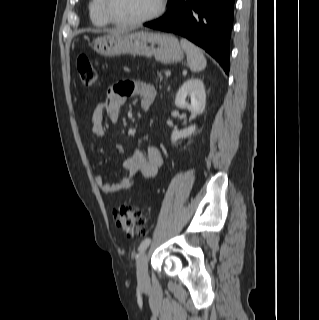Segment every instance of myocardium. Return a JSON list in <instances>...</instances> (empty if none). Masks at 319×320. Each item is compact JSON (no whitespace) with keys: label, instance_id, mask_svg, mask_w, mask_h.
Here are the masks:
<instances>
[{"label":"myocardium","instance_id":"1","mask_svg":"<svg viewBox=\"0 0 319 320\" xmlns=\"http://www.w3.org/2000/svg\"><path fill=\"white\" fill-rule=\"evenodd\" d=\"M109 0H102V10L105 15V17L113 24L116 25H137V24H143L149 21H152L158 17H160L166 6L165 0H158V6L154 12L151 14L141 17V18H135V19H119L113 15V13L110 10L109 7Z\"/></svg>","mask_w":319,"mask_h":320}]
</instances>
